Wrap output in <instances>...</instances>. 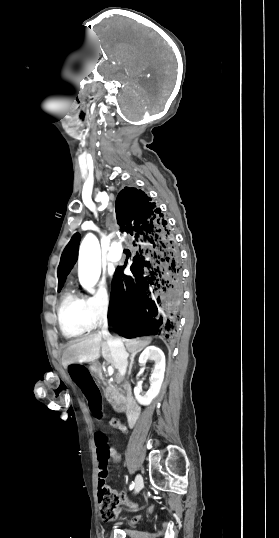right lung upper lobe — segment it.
<instances>
[{"label":"right lung upper lobe","instance_id":"right-lung-upper-lobe-1","mask_svg":"<svg viewBox=\"0 0 279 538\" xmlns=\"http://www.w3.org/2000/svg\"><path fill=\"white\" fill-rule=\"evenodd\" d=\"M125 335H132V334H125ZM167 337H168V335H167Z\"/></svg>","mask_w":279,"mask_h":538}]
</instances>
